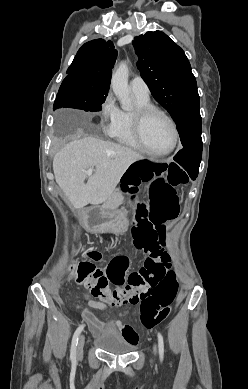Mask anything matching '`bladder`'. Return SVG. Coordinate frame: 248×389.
Segmentation results:
<instances>
[{"label": "bladder", "instance_id": "obj_1", "mask_svg": "<svg viewBox=\"0 0 248 389\" xmlns=\"http://www.w3.org/2000/svg\"><path fill=\"white\" fill-rule=\"evenodd\" d=\"M93 342L101 350L114 355H127L136 349V345L125 337L108 335L104 332L95 333Z\"/></svg>", "mask_w": 248, "mask_h": 389}]
</instances>
